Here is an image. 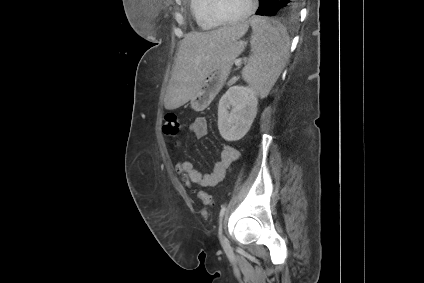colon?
<instances>
[{"label": "colon", "instance_id": "obj_1", "mask_svg": "<svg viewBox=\"0 0 424 283\" xmlns=\"http://www.w3.org/2000/svg\"><path fill=\"white\" fill-rule=\"evenodd\" d=\"M162 130L163 133L168 137H176L179 134L180 122L174 113H168L165 115ZM197 196L204 205L211 206L213 204V199L210 194L204 191H199Z\"/></svg>", "mask_w": 424, "mask_h": 283}]
</instances>
